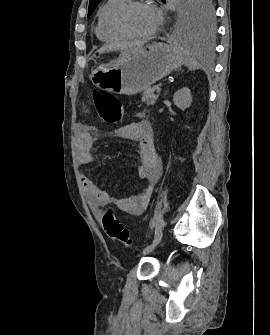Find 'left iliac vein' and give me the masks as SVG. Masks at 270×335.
Returning <instances> with one entry per match:
<instances>
[{"instance_id":"obj_1","label":"left iliac vein","mask_w":270,"mask_h":335,"mask_svg":"<svg viewBox=\"0 0 270 335\" xmlns=\"http://www.w3.org/2000/svg\"><path fill=\"white\" fill-rule=\"evenodd\" d=\"M156 246H157V244H155V243H152V244L148 245L147 247H145L143 249L142 254L145 255V254H148V253L152 252L156 248Z\"/></svg>"}]
</instances>
